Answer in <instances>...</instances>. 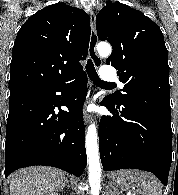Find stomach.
I'll use <instances>...</instances> for the list:
<instances>
[{
	"label": "stomach",
	"mask_w": 178,
	"mask_h": 195,
	"mask_svg": "<svg viewBox=\"0 0 178 195\" xmlns=\"http://www.w3.org/2000/svg\"><path fill=\"white\" fill-rule=\"evenodd\" d=\"M110 179L114 184V189L117 191H128L133 187V182H131L127 177L120 175L119 172L111 173Z\"/></svg>",
	"instance_id": "stomach-1"
}]
</instances>
